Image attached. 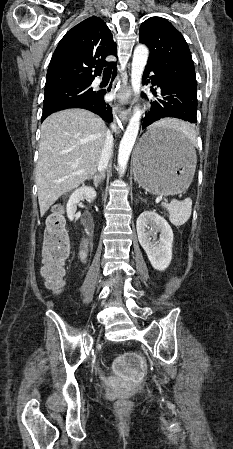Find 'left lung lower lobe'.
<instances>
[{"instance_id":"left-lung-lower-lobe-1","label":"left lung lower lobe","mask_w":233,"mask_h":449,"mask_svg":"<svg viewBox=\"0 0 233 449\" xmlns=\"http://www.w3.org/2000/svg\"><path fill=\"white\" fill-rule=\"evenodd\" d=\"M154 74L150 76L147 82L158 85L161 89L160 97L151 104V110L145 116L142 128H146L157 120L166 117H173L189 121L197 122V91H193L185 85L179 83L174 78L147 64L144 72V79L148 78L150 72ZM143 79V84H147ZM155 94V91H152ZM146 97V95L144 94ZM181 138L174 133H156L148 139L149 144H165L179 143Z\"/></svg>"}]
</instances>
